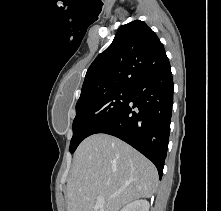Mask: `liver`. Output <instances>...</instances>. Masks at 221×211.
I'll list each match as a JSON object with an SVG mask.
<instances>
[{
	"label": "liver",
	"instance_id": "1",
	"mask_svg": "<svg viewBox=\"0 0 221 211\" xmlns=\"http://www.w3.org/2000/svg\"><path fill=\"white\" fill-rule=\"evenodd\" d=\"M158 188L156 167L134 148L107 134L86 138L74 154L67 181V211H119ZM102 196L105 203L97 206Z\"/></svg>",
	"mask_w": 221,
	"mask_h": 211
}]
</instances>
